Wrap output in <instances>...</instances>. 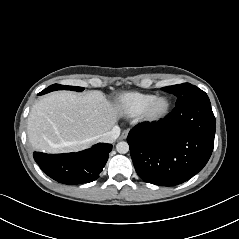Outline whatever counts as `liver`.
<instances>
[{
	"label": "liver",
	"instance_id": "6515ba94",
	"mask_svg": "<svg viewBox=\"0 0 239 239\" xmlns=\"http://www.w3.org/2000/svg\"><path fill=\"white\" fill-rule=\"evenodd\" d=\"M119 106L104 93L54 92L37 101L28 116L31 145L40 151L61 153L90 147L121 117Z\"/></svg>",
	"mask_w": 239,
	"mask_h": 239
}]
</instances>
